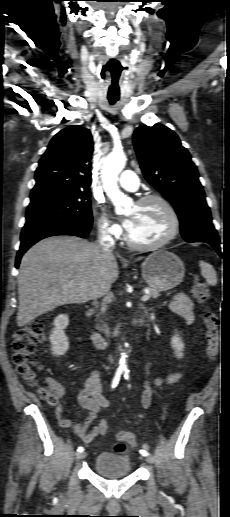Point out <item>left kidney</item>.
Returning a JSON list of instances; mask_svg holds the SVG:
<instances>
[{"label": "left kidney", "instance_id": "1", "mask_svg": "<svg viewBox=\"0 0 230 517\" xmlns=\"http://www.w3.org/2000/svg\"><path fill=\"white\" fill-rule=\"evenodd\" d=\"M171 346L175 350V355L178 359L183 357V349H184V343L182 339L180 338L179 334L176 332L175 335L171 338Z\"/></svg>", "mask_w": 230, "mask_h": 517}]
</instances>
